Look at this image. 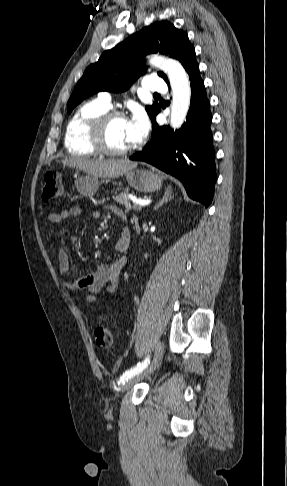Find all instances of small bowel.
Listing matches in <instances>:
<instances>
[{
    "instance_id": "c3829d8e",
    "label": "small bowel",
    "mask_w": 287,
    "mask_h": 486,
    "mask_svg": "<svg viewBox=\"0 0 287 486\" xmlns=\"http://www.w3.org/2000/svg\"><path fill=\"white\" fill-rule=\"evenodd\" d=\"M109 210L122 220L126 219L124 213L118 207L111 206L109 207ZM81 214V208L73 206L69 209L62 210L59 213L48 214L47 220L52 224H61L71 218L79 217ZM100 215V212L92 211L90 212L89 217L98 219L100 218ZM130 239L129 229L124 228L115 246L118 257L110 264L99 265L94 272L76 279L73 278L71 274L68 252L65 248L61 246L58 247L57 261L61 272L63 287L72 293L87 290L85 296L87 302H95L100 297L113 294L118 288L122 270L127 263L126 253L130 245Z\"/></svg>"
}]
</instances>
